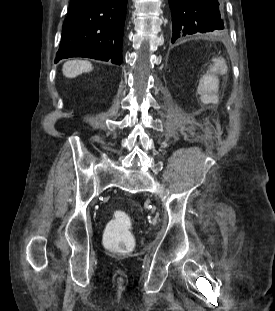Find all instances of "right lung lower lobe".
Here are the masks:
<instances>
[{
	"instance_id": "98d812e1",
	"label": "right lung lower lobe",
	"mask_w": 275,
	"mask_h": 311,
	"mask_svg": "<svg viewBox=\"0 0 275 311\" xmlns=\"http://www.w3.org/2000/svg\"><path fill=\"white\" fill-rule=\"evenodd\" d=\"M127 0H71L55 62L88 57L121 64Z\"/></svg>"
}]
</instances>
